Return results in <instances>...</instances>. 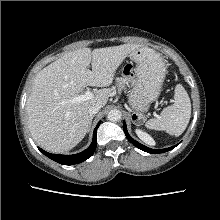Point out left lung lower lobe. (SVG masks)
I'll return each mask as SVG.
<instances>
[{
  "instance_id": "1",
  "label": "left lung lower lobe",
  "mask_w": 220,
  "mask_h": 220,
  "mask_svg": "<svg viewBox=\"0 0 220 220\" xmlns=\"http://www.w3.org/2000/svg\"><path fill=\"white\" fill-rule=\"evenodd\" d=\"M123 130H124V133L127 137V139L134 145L136 146L137 148L145 151V152H148V153H152V154H157V153H164V152H167V151H170L172 150L173 148H175L177 145L175 146H172V147H169V148H165V149H151V148H148L142 144H140L139 142H137L136 140L132 139L130 137V135L128 134V131H127V127H126V123L125 121H123Z\"/></svg>"
}]
</instances>
